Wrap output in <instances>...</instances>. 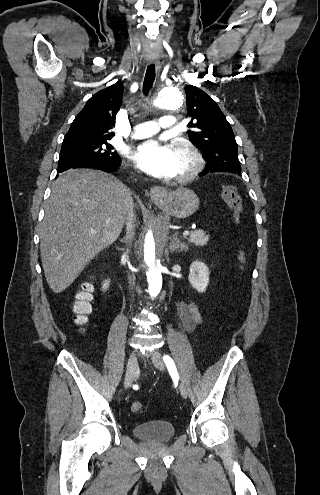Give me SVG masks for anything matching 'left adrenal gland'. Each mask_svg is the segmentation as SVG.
I'll use <instances>...</instances> for the list:
<instances>
[{
    "mask_svg": "<svg viewBox=\"0 0 320 495\" xmlns=\"http://www.w3.org/2000/svg\"><path fill=\"white\" fill-rule=\"evenodd\" d=\"M169 249L171 252H174L175 250L180 249V251L187 250L188 246L185 242L180 241V239L177 238V233L174 234L172 237Z\"/></svg>",
    "mask_w": 320,
    "mask_h": 495,
    "instance_id": "1",
    "label": "left adrenal gland"
}]
</instances>
